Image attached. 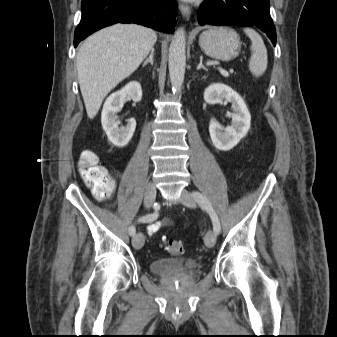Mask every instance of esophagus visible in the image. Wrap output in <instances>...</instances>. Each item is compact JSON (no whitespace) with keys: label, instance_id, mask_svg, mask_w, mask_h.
Masks as SVG:
<instances>
[{"label":"esophagus","instance_id":"obj_1","mask_svg":"<svg viewBox=\"0 0 337 337\" xmlns=\"http://www.w3.org/2000/svg\"><path fill=\"white\" fill-rule=\"evenodd\" d=\"M179 9H180V12H181L182 16L185 19H189L190 15H191V8L188 5H185L183 3H179Z\"/></svg>","mask_w":337,"mask_h":337}]
</instances>
